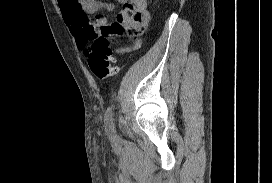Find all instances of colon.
<instances>
[{
    "mask_svg": "<svg viewBox=\"0 0 272 183\" xmlns=\"http://www.w3.org/2000/svg\"><path fill=\"white\" fill-rule=\"evenodd\" d=\"M110 25H119L112 23ZM124 31V30H111ZM117 39H111L107 34H101L92 41L85 50V57L92 73L100 80L113 78L118 73L116 58L111 49V43Z\"/></svg>",
    "mask_w": 272,
    "mask_h": 183,
    "instance_id": "1",
    "label": "colon"
}]
</instances>
